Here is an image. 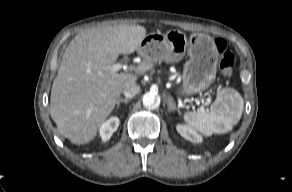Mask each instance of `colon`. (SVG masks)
<instances>
[{"label":"colon","mask_w":292,"mask_h":192,"mask_svg":"<svg viewBox=\"0 0 292 192\" xmlns=\"http://www.w3.org/2000/svg\"><path fill=\"white\" fill-rule=\"evenodd\" d=\"M215 45L219 68L224 76L229 77L235 61L234 54L223 40H216Z\"/></svg>","instance_id":"obj_1"}]
</instances>
